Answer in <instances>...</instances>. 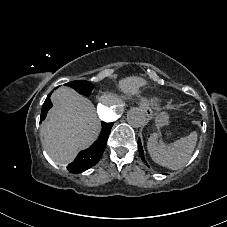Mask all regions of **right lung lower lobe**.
I'll use <instances>...</instances> for the list:
<instances>
[{
	"label": "right lung lower lobe",
	"instance_id": "1",
	"mask_svg": "<svg viewBox=\"0 0 227 227\" xmlns=\"http://www.w3.org/2000/svg\"><path fill=\"white\" fill-rule=\"evenodd\" d=\"M51 107L52 103L50 101L48 108L46 110H42L41 112L40 122L45 119L47 112ZM112 126L113 123L102 122V131L99 135V138L94 142L91 147L81 151L77 155L75 160L68 165L67 169L71 173H79L97 164L104 152Z\"/></svg>",
	"mask_w": 227,
	"mask_h": 227
}]
</instances>
